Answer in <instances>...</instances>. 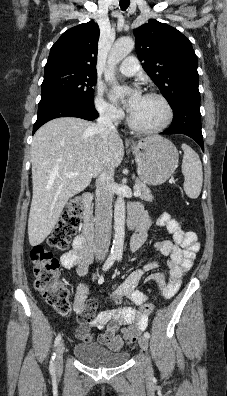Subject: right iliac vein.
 Instances as JSON below:
<instances>
[{
    "mask_svg": "<svg viewBox=\"0 0 227 396\" xmlns=\"http://www.w3.org/2000/svg\"><path fill=\"white\" fill-rule=\"evenodd\" d=\"M64 349H65L64 343L60 342L57 346L56 356H55V366L57 369H60L62 367Z\"/></svg>",
    "mask_w": 227,
    "mask_h": 396,
    "instance_id": "right-iliac-vein-1",
    "label": "right iliac vein"
}]
</instances>
